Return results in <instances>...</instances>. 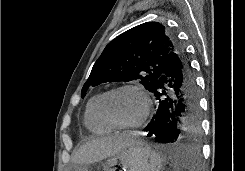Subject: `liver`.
Here are the masks:
<instances>
[{
    "mask_svg": "<svg viewBox=\"0 0 245 171\" xmlns=\"http://www.w3.org/2000/svg\"><path fill=\"white\" fill-rule=\"evenodd\" d=\"M137 142L139 141L136 140V134L134 133L115 134L92 139L79 148L73 156L72 162L75 164L100 162Z\"/></svg>",
    "mask_w": 245,
    "mask_h": 171,
    "instance_id": "1",
    "label": "liver"
}]
</instances>
